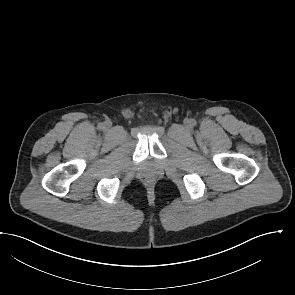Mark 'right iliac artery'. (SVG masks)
I'll list each match as a JSON object with an SVG mask.
<instances>
[{
  "label": "right iliac artery",
  "instance_id": "obj_1",
  "mask_svg": "<svg viewBox=\"0 0 295 295\" xmlns=\"http://www.w3.org/2000/svg\"><path fill=\"white\" fill-rule=\"evenodd\" d=\"M98 128H99V129H103V128H104V124H103V123H99V124H98Z\"/></svg>",
  "mask_w": 295,
  "mask_h": 295
}]
</instances>
